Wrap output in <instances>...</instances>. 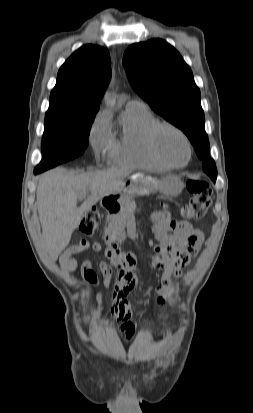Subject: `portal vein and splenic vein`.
Instances as JSON below:
<instances>
[{"mask_svg":"<svg viewBox=\"0 0 253 413\" xmlns=\"http://www.w3.org/2000/svg\"><path fill=\"white\" fill-rule=\"evenodd\" d=\"M85 195H86V194H82V195H81V198H83Z\"/></svg>","mask_w":253,"mask_h":413,"instance_id":"obj_1","label":"portal vein and splenic vein"}]
</instances>
